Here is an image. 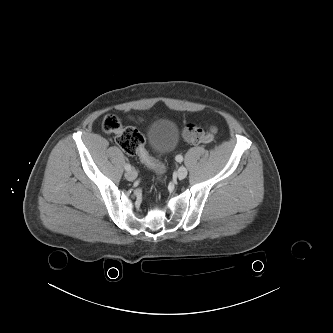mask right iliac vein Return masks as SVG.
Masks as SVG:
<instances>
[{
    "instance_id": "obj_1",
    "label": "right iliac vein",
    "mask_w": 333,
    "mask_h": 333,
    "mask_svg": "<svg viewBox=\"0 0 333 333\" xmlns=\"http://www.w3.org/2000/svg\"><path fill=\"white\" fill-rule=\"evenodd\" d=\"M125 177L129 181H133L137 177V173L134 170L127 171Z\"/></svg>"
}]
</instances>
